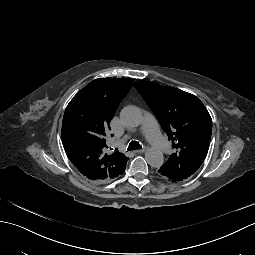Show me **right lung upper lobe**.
Segmentation results:
<instances>
[{"label": "right lung upper lobe", "instance_id": "cb5924a9", "mask_svg": "<svg viewBox=\"0 0 255 255\" xmlns=\"http://www.w3.org/2000/svg\"><path fill=\"white\" fill-rule=\"evenodd\" d=\"M129 78H99L80 90L68 104L62 122L65 152L78 171L96 183L120 176L128 158L110 152L106 133L122 99L130 91Z\"/></svg>", "mask_w": 255, "mask_h": 255}]
</instances>
